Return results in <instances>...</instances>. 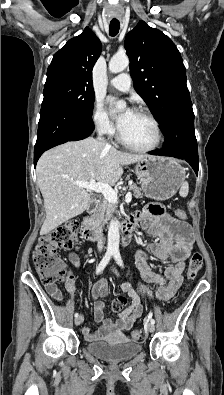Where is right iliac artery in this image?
Instances as JSON below:
<instances>
[{
	"instance_id": "right-iliac-artery-1",
	"label": "right iliac artery",
	"mask_w": 224,
	"mask_h": 395,
	"mask_svg": "<svg viewBox=\"0 0 224 395\" xmlns=\"http://www.w3.org/2000/svg\"><path fill=\"white\" fill-rule=\"evenodd\" d=\"M112 255H113V252H112V251H107V252L105 253V256L103 257V259L101 260V262L99 263V265H98V267H97V269H96V274H99V273H101V272L104 270V268L106 267V265L109 263V261H110ZM74 316H75V318H77V317H79V314H78V313H75Z\"/></svg>"
}]
</instances>
